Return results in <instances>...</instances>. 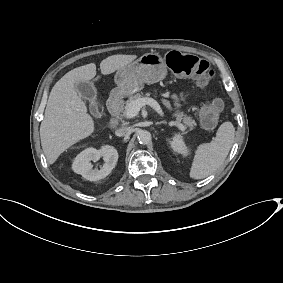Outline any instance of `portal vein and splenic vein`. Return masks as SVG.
<instances>
[{
	"label": "portal vein and splenic vein",
	"instance_id": "obj_1",
	"mask_svg": "<svg viewBox=\"0 0 283 283\" xmlns=\"http://www.w3.org/2000/svg\"><path fill=\"white\" fill-rule=\"evenodd\" d=\"M145 105L151 106L161 116L164 115L159 103L156 100H154L153 98L145 97L128 104L125 111L126 118H133L134 116H136L139 113L140 109ZM173 123L174 122H171L170 125H173Z\"/></svg>",
	"mask_w": 283,
	"mask_h": 283
}]
</instances>
